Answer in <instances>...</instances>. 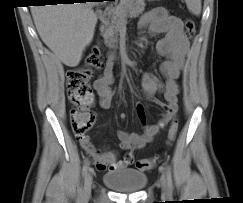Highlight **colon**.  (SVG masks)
Wrapping results in <instances>:
<instances>
[{
	"label": "colon",
	"instance_id": "obj_1",
	"mask_svg": "<svg viewBox=\"0 0 243 203\" xmlns=\"http://www.w3.org/2000/svg\"><path fill=\"white\" fill-rule=\"evenodd\" d=\"M185 35L188 39L194 37L196 33L195 23L191 19L185 20ZM86 67H77L67 72V93L73 107L70 111L71 128L73 134L78 138H85L91 129L95 114L90 109L93 101V92L91 88V79L93 70L100 69L103 66L99 48H94L87 57ZM178 132V121L173 120L169 132L168 143L171 144ZM157 158H148L137 160L135 165L138 170L147 171L156 166Z\"/></svg>",
	"mask_w": 243,
	"mask_h": 203
}]
</instances>
